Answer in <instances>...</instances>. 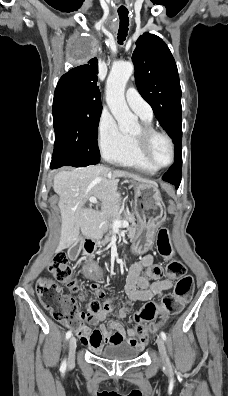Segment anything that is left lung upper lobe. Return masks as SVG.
Wrapping results in <instances>:
<instances>
[{"label":"left lung upper lobe","mask_w":228,"mask_h":396,"mask_svg":"<svg viewBox=\"0 0 228 396\" xmlns=\"http://www.w3.org/2000/svg\"><path fill=\"white\" fill-rule=\"evenodd\" d=\"M132 60L139 93L150 104L174 143L181 141V87L177 66L168 46L160 37L144 33L136 41Z\"/></svg>","instance_id":"1"}]
</instances>
